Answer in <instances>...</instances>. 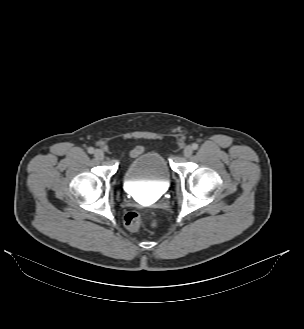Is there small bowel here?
<instances>
[{
	"mask_svg": "<svg viewBox=\"0 0 304 329\" xmlns=\"http://www.w3.org/2000/svg\"><path fill=\"white\" fill-rule=\"evenodd\" d=\"M142 151H143V147H141V146H137V147H135V148L131 151V153H130V157H131V158H134V157H136L137 155H139L140 153H142Z\"/></svg>",
	"mask_w": 304,
	"mask_h": 329,
	"instance_id": "1",
	"label": "small bowel"
}]
</instances>
